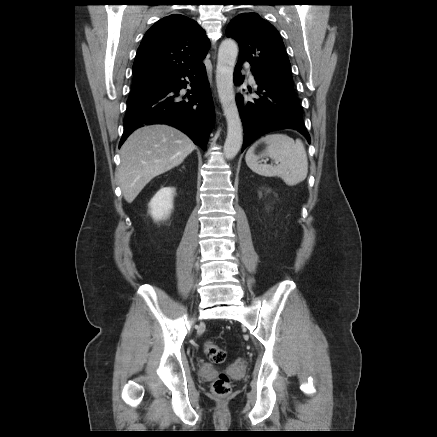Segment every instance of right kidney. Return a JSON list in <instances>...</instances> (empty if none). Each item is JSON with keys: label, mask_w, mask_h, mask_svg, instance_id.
<instances>
[{"label": "right kidney", "mask_w": 437, "mask_h": 437, "mask_svg": "<svg viewBox=\"0 0 437 437\" xmlns=\"http://www.w3.org/2000/svg\"><path fill=\"white\" fill-rule=\"evenodd\" d=\"M175 189L170 187L161 188L149 203V213L154 221L166 220L173 209V197Z\"/></svg>", "instance_id": "obj_1"}]
</instances>
